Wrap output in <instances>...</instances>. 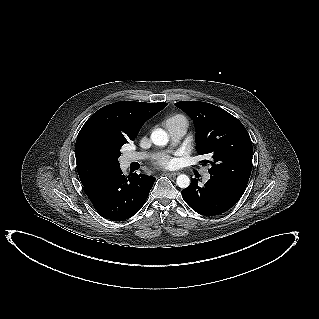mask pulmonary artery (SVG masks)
Instances as JSON below:
<instances>
[{
	"label": "pulmonary artery",
	"mask_w": 319,
	"mask_h": 319,
	"mask_svg": "<svg viewBox=\"0 0 319 319\" xmlns=\"http://www.w3.org/2000/svg\"><path fill=\"white\" fill-rule=\"evenodd\" d=\"M170 138L173 144L178 143L186 134L187 132V124L183 121L175 120V121H168L166 123ZM148 155L145 153H137V152H130L124 156V160L127 163L140 161L147 157ZM205 179L210 178V174L206 172L204 174Z\"/></svg>",
	"instance_id": "pulmonary-artery-1"
}]
</instances>
